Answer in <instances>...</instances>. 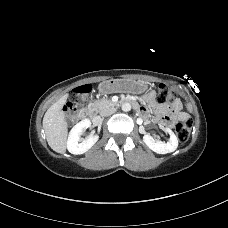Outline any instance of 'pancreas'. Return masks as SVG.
<instances>
[{"label":"pancreas","instance_id":"obj_1","mask_svg":"<svg viewBox=\"0 0 228 228\" xmlns=\"http://www.w3.org/2000/svg\"><path fill=\"white\" fill-rule=\"evenodd\" d=\"M113 105L114 103L108 99L96 100L90 104L96 112H102L105 108Z\"/></svg>","mask_w":228,"mask_h":228}]
</instances>
